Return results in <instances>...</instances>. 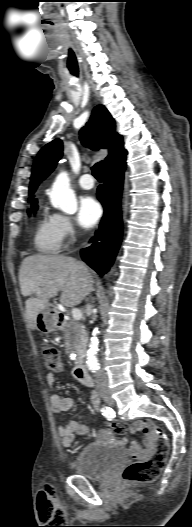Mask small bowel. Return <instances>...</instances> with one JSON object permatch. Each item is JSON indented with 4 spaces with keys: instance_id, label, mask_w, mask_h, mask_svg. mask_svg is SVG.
<instances>
[{
    "instance_id": "c3829d8e",
    "label": "small bowel",
    "mask_w": 192,
    "mask_h": 527,
    "mask_svg": "<svg viewBox=\"0 0 192 527\" xmlns=\"http://www.w3.org/2000/svg\"><path fill=\"white\" fill-rule=\"evenodd\" d=\"M46 382L48 386L52 389V394L50 396V405L51 409L55 413H64L72 409L74 405V400L70 397H63L54 392L56 378L53 373H49L46 376ZM93 406L98 409L99 400L96 394L91 396ZM129 432L139 431L143 434V446L137 442H133L129 448V452L132 457L147 459L151 457L155 450L153 431L151 427L146 423H136L131 427H128ZM58 433L62 437V445L64 447H69L77 437H92L91 427L87 424L80 423L78 421H69L66 424L60 425L58 427ZM97 441L104 444L111 445H123L125 444L124 440H116L112 434V431L109 429H101L97 434Z\"/></svg>"
}]
</instances>
